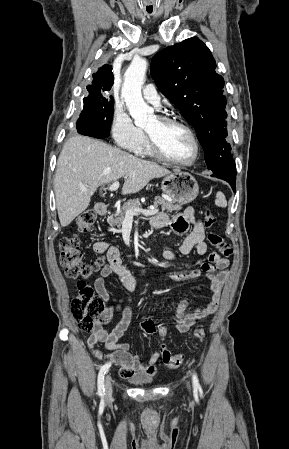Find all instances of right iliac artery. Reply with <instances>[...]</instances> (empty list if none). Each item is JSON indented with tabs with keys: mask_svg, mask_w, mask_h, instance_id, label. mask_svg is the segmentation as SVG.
<instances>
[{
	"mask_svg": "<svg viewBox=\"0 0 289 449\" xmlns=\"http://www.w3.org/2000/svg\"><path fill=\"white\" fill-rule=\"evenodd\" d=\"M111 363H106L104 364L98 374V380H97V385H98V394L101 398L104 397L105 394V388H104V376L107 372V370L110 368Z\"/></svg>",
	"mask_w": 289,
	"mask_h": 449,
	"instance_id": "82829eb1",
	"label": "right iliac artery"
}]
</instances>
